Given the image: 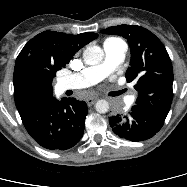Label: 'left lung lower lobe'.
<instances>
[{"label": "left lung lower lobe", "instance_id": "0a47b994", "mask_svg": "<svg viewBox=\"0 0 187 187\" xmlns=\"http://www.w3.org/2000/svg\"><path fill=\"white\" fill-rule=\"evenodd\" d=\"M165 119L135 105L127 116H111L109 123L112 131L120 138L136 142L153 137L161 129Z\"/></svg>", "mask_w": 187, "mask_h": 187}]
</instances>
